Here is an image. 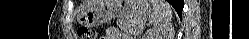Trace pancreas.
Wrapping results in <instances>:
<instances>
[{"label":"pancreas","mask_w":249,"mask_h":39,"mask_svg":"<svg viewBox=\"0 0 249 39\" xmlns=\"http://www.w3.org/2000/svg\"><path fill=\"white\" fill-rule=\"evenodd\" d=\"M117 25L126 34H139L143 27L142 21L136 19L122 18L117 20Z\"/></svg>","instance_id":"1"}]
</instances>
